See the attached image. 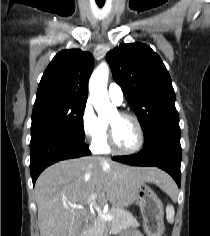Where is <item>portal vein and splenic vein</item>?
Masks as SVG:
<instances>
[{"mask_svg": "<svg viewBox=\"0 0 210 236\" xmlns=\"http://www.w3.org/2000/svg\"><path fill=\"white\" fill-rule=\"evenodd\" d=\"M90 204H92V203H90ZM94 208L98 211L99 214H102V210H101V208H100L99 206L94 205ZM106 214H107V213H106ZM105 218H107V219H112L113 216H112V215H106Z\"/></svg>", "mask_w": 210, "mask_h": 236, "instance_id": "1", "label": "portal vein and splenic vein"}]
</instances>
